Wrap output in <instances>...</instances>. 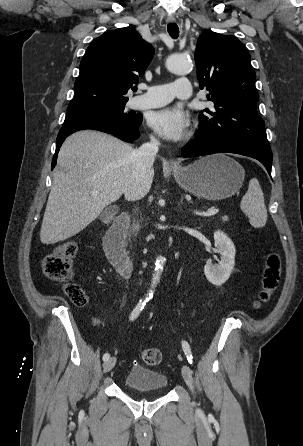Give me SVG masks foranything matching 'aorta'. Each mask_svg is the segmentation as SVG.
<instances>
[{
	"instance_id": "762f6f07",
	"label": "aorta",
	"mask_w": 303,
	"mask_h": 446,
	"mask_svg": "<svg viewBox=\"0 0 303 446\" xmlns=\"http://www.w3.org/2000/svg\"><path fill=\"white\" fill-rule=\"evenodd\" d=\"M166 67L170 72H172L174 74L183 75V74H187L190 72V70L192 68V64L187 58L180 57V56H171L168 58V60L166 62ZM165 261H166V259L161 256L158 257L156 260V263H155L156 268H155V272L152 277L151 286H150V290H149L150 297H152L153 290H155V287L157 286V284L160 281V276H161Z\"/></svg>"
}]
</instances>
